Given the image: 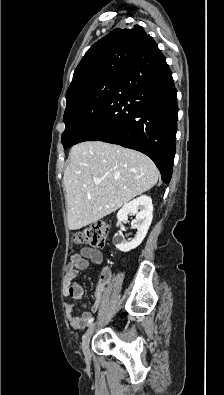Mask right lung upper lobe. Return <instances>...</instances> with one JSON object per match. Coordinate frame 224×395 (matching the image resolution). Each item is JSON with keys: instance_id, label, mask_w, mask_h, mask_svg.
I'll use <instances>...</instances> for the list:
<instances>
[{"instance_id": "right-lung-upper-lobe-1", "label": "right lung upper lobe", "mask_w": 224, "mask_h": 395, "mask_svg": "<svg viewBox=\"0 0 224 395\" xmlns=\"http://www.w3.org/2000/svg\"><path fill=\"white\" fill-rule=\"evenodd\" d=\"M148 37L141 26L135 25L132 29L116 28L97 41L75 69L66 96L99 79L122 76Z\"/></svg>"}]
</instances>
